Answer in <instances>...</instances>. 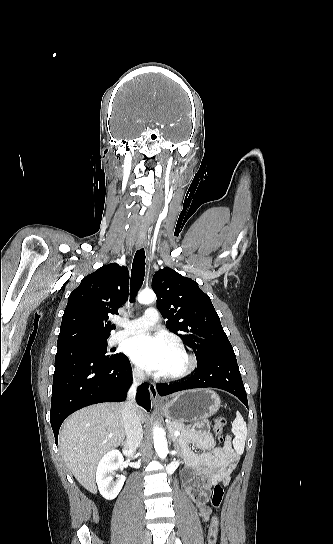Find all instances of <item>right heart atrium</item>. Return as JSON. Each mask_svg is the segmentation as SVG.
<instances>
[{"mask_svg": "<svg viewBox=\"0 0 333 544\" xmlns=\"http://www.w3.org/2000/svg\"><path fill=\"white\" fill-rule=\"evenodd\" d=\"M133 373H134L136 376H138V377H142V376H143L142 370H141L140 368L136 367V366L133 367Z\"/></svg>", "mask_w": 333, "mask_h": 544, "instance_id": "1", "label": "right heart atrium"}]
</instances>
